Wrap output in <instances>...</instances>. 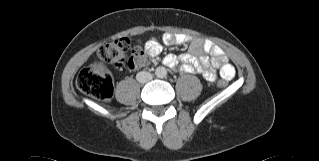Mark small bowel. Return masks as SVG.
<instances>
[{
  "label": "small bowel",
  "instance_id": "1",
  "mask_svg": "<svg viewBox=\"0 0 319 161\" xmlns=\"http://www.w3.org/2000/svg\"><path fill=\"white\" fill-rule=\"evenodd\" d=\"M163 41L168 45H189V53L181 55L179 58L170 56L166 60V65L172 70L180 69L184 73L197 72L200 73L206 80L213 81L215 73L212 70L206 69L207 61L204 58L205 53H211V65L217 68L222 78L230 80L234 74L235 69L232 64L227 61L224 51L213 45L210 41H202L198 38H193L187 34H170L163 35ZM147 49L148 53L155 56L159 53L160 44L156 38H150L142 43ZM183 65L179 68V62Z\"/></svg>",
  "mask_w": 319,
  "mask_h": 161
}]
</instances>
